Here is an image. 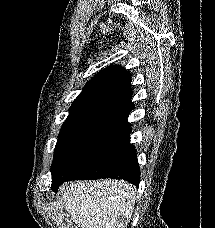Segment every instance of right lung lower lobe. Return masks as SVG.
<instances>
[{
	"instance_id": "obj_1",
	"label": "right lung lower lobe",
	"mask_w": 215,
	"mask_h": 228,
	"mask_svg": "<svg viewBox=\"0 0 215 228\" xmlns=\"http://www.w3.org/2000/svg\"><path fill=\"white\" fill-rule=\"evenodd\" d=\"M130 133L129 127L66 174L52 190L57 192L59 186L65 181L100 178L124 179L138 187L140 169L136 150L129 142Z\"/></svg>"
}]
</instances>
